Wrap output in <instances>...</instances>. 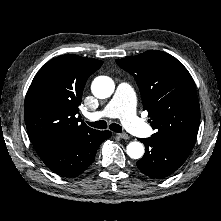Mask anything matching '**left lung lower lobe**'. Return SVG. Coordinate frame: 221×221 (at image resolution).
Instances as JSON below:
<instances>
[{"label":"left lung lower lobe","instance_id":"obj_1","mask_svg":"<svg viewBox=\"0 0 221 221\" xmlns=\"http://www.w3.org/2000/svg\"><path fill=\"white\" fill-rule=\"evenodd\" d=\"M146 147L137 162L142 173L151 178H164L175 172L187 159L193 146L168 137L140 139Z\"/></svg>","mask_w":221,"mask_h":221}]
</instances>
